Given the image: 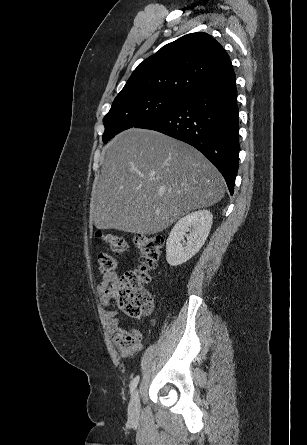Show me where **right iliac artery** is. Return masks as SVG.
<instances>
[{
	"label": "right iliac artery",
	"instance_id": "82829eb1",
	"mask_svg": "<svg viewBox=\"0 0 307 445\" xmlns=\"http://www.w3.org/2000/svg\"><path fill=\"white\" fill-rule=\"evenodd\" d=\"M139 382V376H136L132 382L130 383V392L133 393V391L135 390L137 384Z\"/></svg>",
	"mask_w": 307,
	"mask_h": 445
}]
</instances>
